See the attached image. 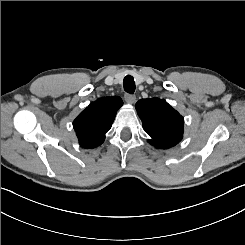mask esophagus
<instances>
[{
  "mask_svg": "<svg viewBox=\"0 0 245 245\" xmlns=\"http://www.w3.org/2000/svg\"><path fill=\"white\" fill-rule=\"evenodd\" d=\"M125 97V100L128 102V103H134L135 100H136V96L134 94H130V93H125L124 95Z\"/></svg>",
  "mask_w": 245,
  "mask_h": 245,
  "instance_id": "esophagus-1",
  "label": "esophagus"
}]
</instances>
